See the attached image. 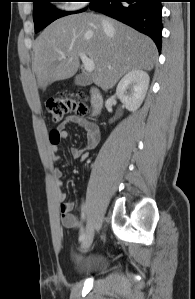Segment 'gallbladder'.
Instances as JSON below:
<instances>
[{
    "label": "gallbladder",
    "mask_w": 195,
    "mask_h": 299,
    "mask_svg": "<svg viewBox=\"0 0 195 299\" xmlns=\"http://www.w3.org/2000/svg\"><path fill=\"white\" fill-rule=\"evenodd\" d=\"M74 83H75V85H78V86H86L91 83V78L87 77L84 74H79L75 77Z\"/></svg>",
    "instance_id": "obj_1"
}]
</instances>
